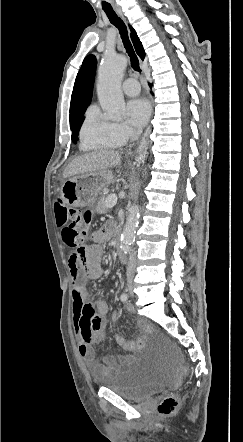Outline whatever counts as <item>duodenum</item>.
I'll use <instances>...</instances> for the list:
<instances>
[{
	"label": "duodenum",
	"instance_id": "obj_1",
	"mask_svg": "<svg viewBox=\"0 0 243 442\" xmlns=\"http://www.w3.org/2000/svg\"><path fill=\"white\" fill-rule=\"evenodd\" d=\"M117 252H118V256L122 260H124V261L128 260V256L125 254L124 249H123V245L119 240L117 241Z\"/></svg>",
	"mask_w": 243,
	"mask_h": 442
}]
</instances>
